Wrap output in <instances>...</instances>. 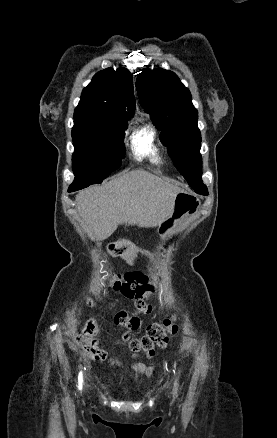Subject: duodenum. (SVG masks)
<instances>
[{
    "instance_id": "1",
    "label": "duodenum",
    "mask_w": 277,
    "mask_h": 438,
    "mask_svg": "<svg viewBox=\"0 0 277 438\" xmlns=\"http://www.w3.org/2000/svg\"><path fill=\"white\" fill-rule=\"evenodd\" d=\"M108 247L110 252L116 257H123L128 252V247L124 243L111 242Z\"/></svg>"
}]
</instances>
